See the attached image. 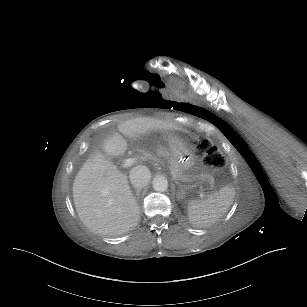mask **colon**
I'll return each instance as SVG.
<instances>
[{"label":"colon","mask_w":307,"mask_h":307,"mask_svg":"<svg viewBox=\"0 0 307 307\" xmlns=\"http://www.w3.org/2000/svg\"><path fill=\"white\" fill-rule=\"evenodd\" d=\"M205 144V162L214 168H221L225 165V158L222 153L210 145L208 141H204Z\"/></svg>","instance_id":"colon-1"}]
</instances>
